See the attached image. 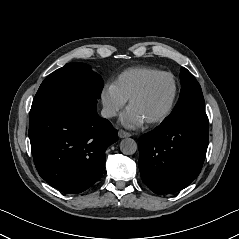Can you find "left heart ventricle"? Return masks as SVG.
<instances>
[{
    "label": "left heart ventricle",
    "mask_w": 239,
    "mask_h": 239,
    "mask_svg": "<svg viewBox=\"0 0 239 239\" xmlns=\"http://www.w3.org/2000/svg\"><path fill=\"white\" fill-rule=\"evenodd\" d=\"M172 90L171 80L168 77H160L130 107L146 121L160 114L166 108Z\"/></svg>",
    "instance_id": "left-heart-ventricle-1"
}]
</instances>
